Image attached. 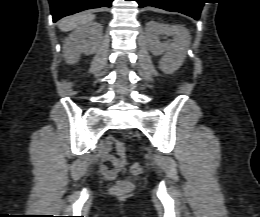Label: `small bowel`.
<instances>
[{
  "instance_id": "1",
  "label": "small bowel",
  "mask_w": 260,
  "mask_h": 217,
  "mask_svg": "<svg viewBox=\"0 0 260 217\" xmlns=\"http://www.w3.org/2000/svg\"><path fill=\"white\" fill-rule=\"evenodd\" d=\"M113 144L116 147L117 155L111 153ZM99 157L101 161L110 164L109 166L100 164L101 173L109 180H112L123 173L128 163L124 145L120 141H116L113 137H107L104 145L100 149Z\"/></svg>"
}]
</instances>
